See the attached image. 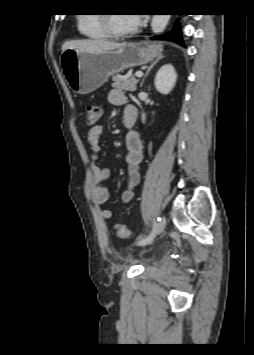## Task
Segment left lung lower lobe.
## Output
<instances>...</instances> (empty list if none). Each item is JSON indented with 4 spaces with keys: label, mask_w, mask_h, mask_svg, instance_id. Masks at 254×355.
Wrapping results in <instances>:
<instances>
[{
    "label": "left lung lower lobe",
    "mask_w": 254,
    "mask_h": 355,
    "mask_svg": "<svg viewBox=\"0 0 254 355\" xmlns=\"http://www.w3.org/2000/svg\"><path fill=\"white\" fill-rule=\"evenodd\" d=\"M155 39H166V40H170V41H175L180 45H184L183 41H182V36H181V32L178 28V26L176 25L173 29L172 32L167 33L166 35L163 36H155Z\"/></svg>",
    "instance_id": "0a47b994"
}]
</instances>
